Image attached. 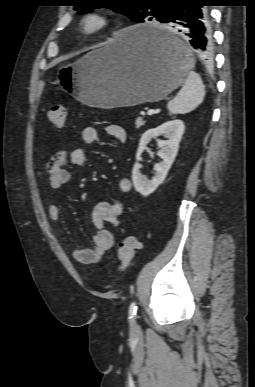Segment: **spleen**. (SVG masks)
I'll use <instances>...</instances> for the list:
<instances>
[{"label":"spleen","instance_id":"obj_1","mask_svg":"<svg viewBox=\"0 0 255 387\" xmlns=\"http://www.w3.org/2000/svg\"><path fill=\"white\" fill-rule=\"evenodd\" d=\"M205 86L200 76L189 71L185 83L177 96L168 102L171 114H185L197 108L204 100Z\"/></svg>","mask_w":255,"mask_h":387}]
</instances>
